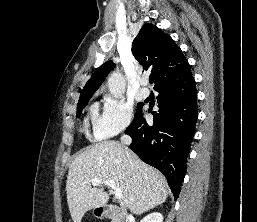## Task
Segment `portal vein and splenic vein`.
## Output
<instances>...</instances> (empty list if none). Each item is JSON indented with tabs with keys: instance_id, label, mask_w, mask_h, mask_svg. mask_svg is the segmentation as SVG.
Returning <instances> with one entry per match:
<instances>
[{
	"instance_id": "obj_1",
	"label": "portal vein and splenic vein",
	"mask_w": 257,
	"mask_h": 222,
	"mask_svg": "<svg viewBox=\"0 0 257 222\" xmlns=\"http://www.w3.org/2000/svg\"><path fill=\"white\" fill-rule=\"evenodd\" d=\"M101 183H104L105 185L109 186L111 189L114 190V196L116 199H121L122 198V191L120 189H118L116 187V184L113 180H102V179H99V178H93L91 180V184L92 185H98V184H101Z\"/></svg>"
}]
</instances>
